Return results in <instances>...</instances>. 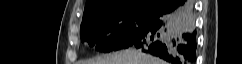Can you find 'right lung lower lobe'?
Masks as SVG:
<instances>
[{"label":"right lung lower lobe","mask_w":242,"mask_h":64,"mask_svg":"<svg viewBox=\"0 0 242 64\" xmlns=\"http://www.w3.org/2000/svg\"><path fill=\"white\" fill-rule=\"evenodd\" d=\"M130 46L170 64L196 62V30L191 0H163L153 25Z\"/></svg>","instance_id":"1"}]
</instances>
